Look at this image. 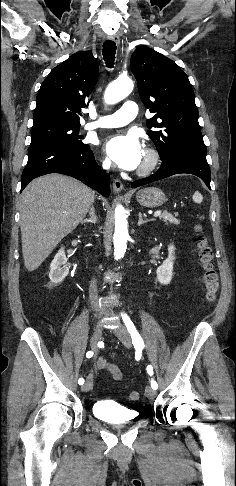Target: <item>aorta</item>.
I'll use <instances>...</instances> for the list:
<instances>
[{
    "mask_svg": "<svg viewBox=\"0 0 236 486\" xmlns=\"http://www.w3.org/2000/svg\"><path fill=\"white\" fill-rule=\"evenodd\" d=\"M133 81L129 78H119L113 81L106 89L104 99L109 104H115L133 90ZM129 239L128 222L126 211L122 205L115 208V232L113 235L114 241V256L115 259H121L127 248V240Z\"/></svg>",
    "mask_w": 236,
    "mask_h": 486,
    "instance_id": "aorta-1",
    "label": "aorta"
}]
</instances>
